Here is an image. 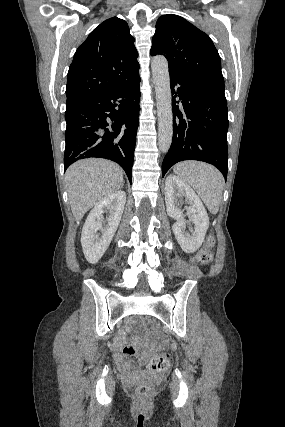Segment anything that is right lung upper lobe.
Listing matches in <instances>:
<instances>
[{
  "label": "right lung upper lobe",
  "mask_w": 285,
  "mask_h": 427,
  "mask_svg": "<svg viewBox=\"0 0 285 427\" xmlns=\"http://www.w3.org/2000/svg\"><path fill=\"white\" fill-rule=\"evenodd\" d=\"M137 57L126 21L113 17L101 23L74 55L67 75L66 106L134 81L139 76Z\"/></svg>",
  "instance_id": "cb5924a9"
}]
</instances>
